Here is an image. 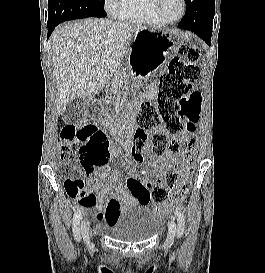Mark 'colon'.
Returning a JSON list of instances; mask_svg holds the SVG:
<instances>
[{"label": "colon", "instance_id": "obj_1", "mask_svg": "<svg viewBox=\"0 0 265 273\" xmlns=\"http://www.w3.org/2000/svg\"><path fill=\"white\" fill-rule=\"evenodd\" d=\"M179 53L183 59L173 60L169 72L161 77L157 103L142 104L136 117L139 128L131 147V155L138 165L143 163V148L149 137L151 151L157 156L184 151L176 167L166 173L162 183L154 185L151 180L146 182L145 186L148 190L152 189L151 199L156 204H168L172 199L185 195L188 185L184 180L192 171L194 152H197L200 141L198 128L195 127L201 115L202 95L192 91V83L199 77L196 61L200 52L196 47L182 44ZM165 132L173 137L183 136V139L169 138ZM60 138L62 157L70 160L78 152L85 172L107 163L108 141L96 125H66L61 129ZM67 169L74 170L71 166ZM64 188L71 198L86 194V182L82 178L67 179ZM110 207L112 210L118 208L115 203H111Z\"/></svg>", "mask_w": 265, "mask_h": 273}]
</instances>
